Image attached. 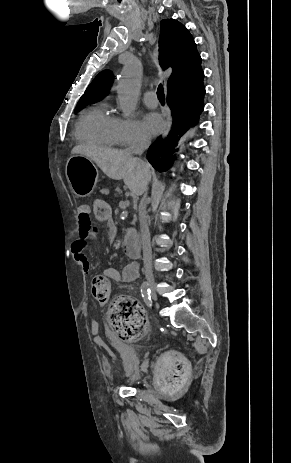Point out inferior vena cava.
Returning a JSON list of instances; mask_svg holds the SVG:
<instances>
[{
	"instance_id": "obj_1",
	"label": "inferior vena cava",
	"mask_w": 291,
	"mask_h": 463,
	"mask_svg": "<svg viewBox=\"0 0 291 463\" xmlns=\"http://www.w3.org/2000/svg\"><path fill=\"white\" fill-rule=\"evenodd\" d=\"M149 145H150L149 136L145 134H141L137 142L127 149V152L130 154L141 155L149 147ZM139 161L142 164H145L143 160L139 159ZM147 190L148 188L146 187L143 198L141 199L140 206H139L140 229H141V239H142L144 259L151 258L150 232H149V227L147 223V213H146ZM146 275L152 276L151 270H147Z\"/></svg>"
}]
</instances>
